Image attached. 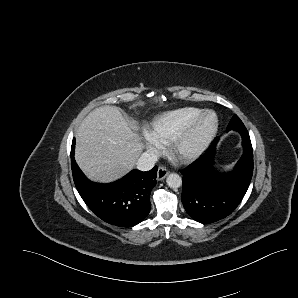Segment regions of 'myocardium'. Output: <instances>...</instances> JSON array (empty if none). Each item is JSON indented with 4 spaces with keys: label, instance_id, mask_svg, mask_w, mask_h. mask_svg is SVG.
<instances>
[{
    "label": "myocardium",
    "instance_id": "myocardium-1",
    "mask_svg": "<svg viewBox=\"0 0 298 298\" xmlns=\"http://www.w3.org/2000/svg\"><path fill=\"white\" fill-rule=\"evenodd\" d=\"M206 116H211L213 123L210 132L200 139L193 147L186 148L187 138L195 131L197 125ZM219 128V121L216 113L205 110L189 121L183 128L177 131L169 140H166V146L170 156L177 161H191L201 156L209 144L215 138Z\"/></svg>",
    "mask_w": 298,
    "mask_h": 298
}]
</instances>
